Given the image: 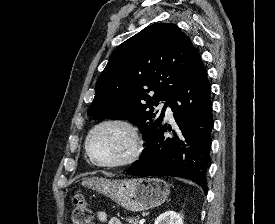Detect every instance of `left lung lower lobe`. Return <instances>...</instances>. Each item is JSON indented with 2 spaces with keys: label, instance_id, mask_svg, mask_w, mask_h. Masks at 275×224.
I'll list each match as a JSON object with an SVG mask.
<instances>
[{
  "label": "left lung lower lobe",
  "instance_id": "obj_1",
  "mask_svg": "<svg viewBox=\"0 0 275 224\" xmlns=\"http://www.w3.org/2000/svg\"><path fill=\"white\" fill-rule=\"evenodd\" d=\"M211 87L203 66L171 96L176 129L161 125L145 140L138 161L126 173L136 176H174L197 182L207 193L206 171L213 128ZM168 129L170 137L163 133Z\"/></svg>",
  "mask_w": 275,
  "mask_h": 224
}]
</instances>
